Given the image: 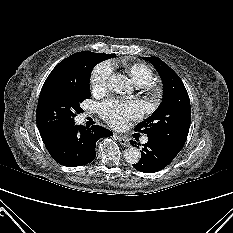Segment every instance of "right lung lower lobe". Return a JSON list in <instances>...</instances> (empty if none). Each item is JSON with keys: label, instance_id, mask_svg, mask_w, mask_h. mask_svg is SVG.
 <instances>
[{"label": "right lung lower lobe", "instance_id": "obj_1", "mask_svg": "<svg viewBox=\"0 0 233 233\" xmlns=\"http://www.w3.org/2000/svg\"><path fill=\"white\" fill-rule=\"evenodd\" d=\"M113 133L101 126L94 125L90 129L73 125L67 132L42 138L52 158L61 165L76 167L90 163L96 157V142Z\"/></svg>", "mask_w": 233, "mask_h": 233}]
</instances>
